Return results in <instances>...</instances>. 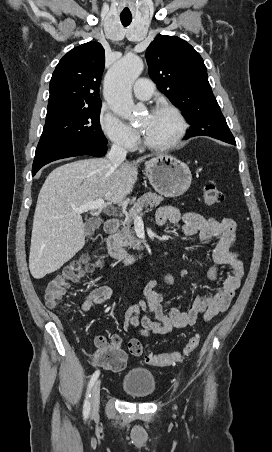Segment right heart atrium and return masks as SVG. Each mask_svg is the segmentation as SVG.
Segmentation results:
<instances>
[{"instance_id": "right-heart-atrium-1", "label": "right heart atrium", "mask_w": 272, "mask_h": 452, "mask_svg": "<svg viewBox=\"0 0 272 452\" xmlns=\"http://www.w3.org/2000/svg\"><path fill=\"white\" fill-rule=\"evenodd\" d=\"M98 125L105 138L115 146L131 150L136 145L137 136L134 130L104 108L99 113Z\"/></svg>"}]
</instances>
